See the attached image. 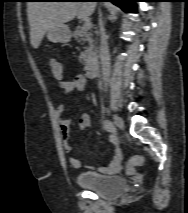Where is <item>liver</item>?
I'll return each instance as SVG.
<instances>
[{
	"instance_id": "obj_1",
	"label": "liver",
	"mask_w": 188,
	"mask_h": 213,
	"mask_svg": "<svg viewBox=\"0 0 188 213\" xmlns=\"http://www.w3.org/2000/svg\"><path fill=\"white\" fill-rule=\"evenodd\" d=\"M95 2H28L27 16L30 25V41L37 49L53 26L64 24L76 16L85 18L93 14Z\"/></svg>"
}]
</instances>
